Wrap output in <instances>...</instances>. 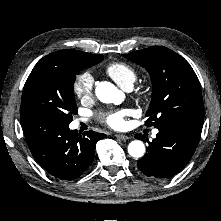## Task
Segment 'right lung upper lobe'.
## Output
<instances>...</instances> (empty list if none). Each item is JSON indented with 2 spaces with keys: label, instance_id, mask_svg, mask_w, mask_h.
<instances>
[{
  "label": "right lung upper lobe",
  "instance_id": "1",
  "mask_svg": "<svg viewBox=\"0 0 221 221\" xmlns=\"http://www.w3.org/2000/svg\"><path fill=\"white\" fill-rule=\"evenodd\" d=\"M100 56L101 54L94 55L72 49L61 50L50 53L49 55L43 57L35 66L56 65L66 68H72L76 63L80 61L95 60Z\"/></svg>",
  "mask_w": 221,
  "mask_h": 221
}]
</instances>
